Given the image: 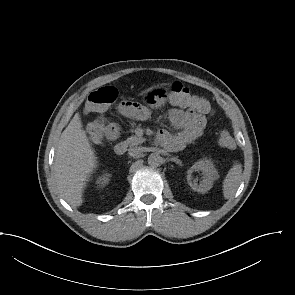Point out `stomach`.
<instances>
[{
  "label": "stomach",
  "mask_w": 295,
  "mask_h": 295,
  "mask_svg": "<svg viewBox=\"0 0 295 295\" xmlns=\"http://www.w3.org/2000/svg\"><path fill=\"white\" fill-rule=\"evenodd\" d=\"M167 93L162 90H152L147 95V102L152 107H160L166 101Z\"/></svg>",
  "instance_id": "obj_1"
}]
</instances>
